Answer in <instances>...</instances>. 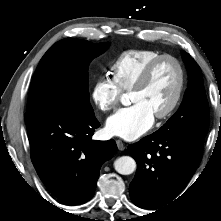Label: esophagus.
Here are the masks:
<instances>
[{
  "instance_id": "1",
  "label": "esophagus",
  "mask_w": 221,
  "mask_h": 221,
  "mask_svg": "<svg viewBox=\"0 0 221 221\" xmlns=\"http://www.w3.org/2000/svg\"><path fill=\"white\" fill-rule=\"evenodd\" d=\"M116 144L119 150H124L125 149V144L121 140H116Z\"/></svg>"
}]
</instances>
